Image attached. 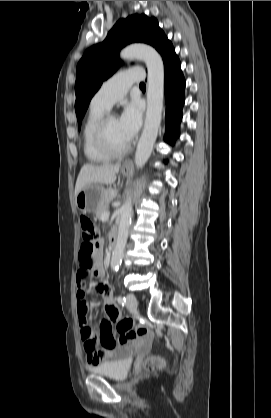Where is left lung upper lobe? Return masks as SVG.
Returning <instances> with one entry per match:
<instances>
[{
    "label": "left lung upper lobe",
    "instance_id": "obj_1",
    "mask_svg": "<svg viewBox=\"0 0 271 418\" xmlns=\"http://www.w3.org/2000/svg\"><path fill=\"white\" fill-rule=\"evenodd\" d=\"M166 40L165 33L154 17L134 14L119 20L103 42L90 47L76 70L75 111L79 124L93 95L119 66L118 53L121 48L130 43L142 42L160 52Z\"/></svg>",
    "mask_w": 271,
    "mask_h": 418
}]
</instances>
